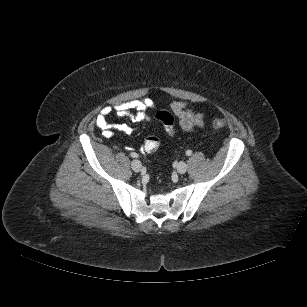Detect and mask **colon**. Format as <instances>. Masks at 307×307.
<instances>
[{
  "label": "colon",
  "mask_w": 307,
  "mask_h": 307,
  "mask_svg": "<svg viewBox=\"0 0 307 307\" xmlns=\"http://www.w3.org/2000/svg\"><path fill=\"white\" fill-rule=\"evenodd\" d=\"M155 117L158 121H160L163 124L167 133L169 134L174 133V119L172 114H170L168 111L161 110L156 113ZM226 124H227L226 119L223 117H216L212 121V126L215 129H222L226 126ZM159 145H160L159 138L154 135H150L145 138L144 150L146 152H155L158 150Z\"/></svg>",
  "instance_id": "5ec220e1"
}]
</instances>
